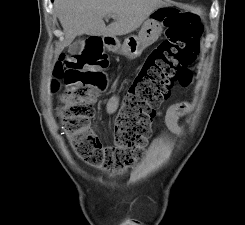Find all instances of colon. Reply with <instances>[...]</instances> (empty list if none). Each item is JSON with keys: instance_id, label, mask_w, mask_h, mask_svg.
Masks as SVG:
<instances>
[{"instance_id": "colon-1", "label": "colon", "mask_w": 245, "mask_h": 225, "mask_svg": "<svg viewBox=\"0 0 245 225\" xmlns=\"http://www.w3.org/2000/svg\"><path fill=\"white\" fill-rule=\"evenodd\" d=\"M166 39L140 65L126 91L114 122V146H104L90 129L94 104L105 87L104 74L90 67L107 69L109 57L96 37L78 40L76 50L63 54L53 69V91L60 90L57 116L76 156L88 165L121 172L142 155L147 146L151 124L159 105L167 101L175 84L189 85V68L199 53L202 26L194 13L176 8L162 9ZM189 103H177V113L185 115Z\"/></svg>"}]
</instances>
